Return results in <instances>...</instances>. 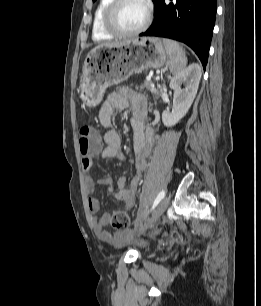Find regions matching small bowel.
<instances>
[{
    "instance_id": "small-bowel-1",
    "label": "small bowel",
    "mask_w": 261,
    "mask_h": 306,
    "mask_svg": "<svg viewBox=\"0 0 261 306\" xmlns=\"http://www.w3.org/2000/svg\"><path fill=\"white\" fill-rule=\"evenodd\" d=\"M132 107L131 126L133 129V147L135 153V169L134 175L126 186V178L120 176L117 179V189L113 185L110 177L101 178L95 181L90 175L93 167V158L83 159V167L88 173L85 181V190L88 194L87 206L93 216L92 225L97 236L112 245L122 246L130 241L132 235L127 231H119L110 233L105 227L110 221V214H104L96 217L100 210V203L97 198L92 196L97 185L106 189L109 194L122 202L124 209L132 210L135 206V194L140 185V172L146 166V159L151 152L153 142V129L145 126L147 118L146 99L143 95L122 88L108 95L99 112V121L105 128L104 143L105 146L100 152L103 159H117L123 161L125 154L121 150V136L111 127L112 119L116 112L124 111Z\"/></svg>"
}]
</instances>
